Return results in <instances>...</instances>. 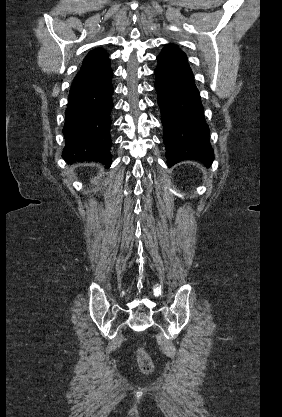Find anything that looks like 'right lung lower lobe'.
I'll return each mask as SVG.
<instances>
[{
  "label": "right lung lower lobe",
  "instance_id": "right-lung-lower-lobe-1",
  "mask_svg": "<svg viewBox=\"0 0 282 417\" xmlns=\"http://www.w3.org/2000/svg\"><path fill=\"white\" fill-rule=\"evenodd\" d=\"M112 74L106 59L81 69L74 78L63 129L66 145L62 156L67 163L96 161L110 167Z\"/></svg>",
  "mask_w": 282,
  "mask_h": 417
}]
</instances>
